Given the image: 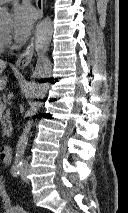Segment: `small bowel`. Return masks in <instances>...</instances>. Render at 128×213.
<instances>
[{"label":"small bowel","mask_w":128,"mask_h":213,"mask_svg":"<svg viewBox=\"0 0 128 213\" xmlns=\"http://www.w3.org/2000/svg\"><path fill=\"white\" fill-rule=\"evenodd\" d=\"M0 197L2 199L3 213H11L12 200L8 195L5 185L4 176H0Z\"/></svg>","instance_id":"1"}]
</instances>
